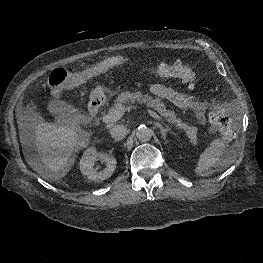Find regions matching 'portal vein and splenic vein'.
<instances>
[{"instance_id": "obj_1", "label": "portal vein and splenic vein", "mask_w": 263, "mask_h": 263, "mask_svg": "<svg viewBox=\"0 0 263 263\" xmlns=\"http://www.w3.org/2000/svg\"><path fill=\"white\" fill-rule=\"evenodd\" d=\"M126 109L127 108H125L124 106L119 105L118 108H116L115 110H113V111L109 112L108 114H106L105 116H103L101 118V121L104 122V123H110V122L119 120L124 115V112L126 111ZM147 112L153 118L162 121V118L157 113H155V112H153V111H151L149 109H147Z\"/></svg>"}]
</instances>
